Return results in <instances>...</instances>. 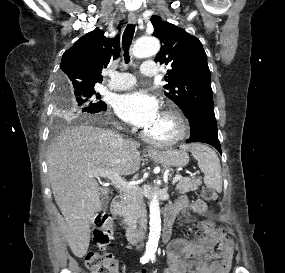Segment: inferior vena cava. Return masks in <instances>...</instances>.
Instances as JSON below:
<instances>
[{
	"mask_svg": "<svg viewBox=\"0 0 285 273\" xmlns=\"http://www.w3.org/2000/svg\"><path fill=\"white\" fill-rule=\"evenodd\" d=\"M109 136L111 138V144L113 146H120L123 142V139L120 135L115 132L109 131ZM137 211L139 214V229L138 235L140 239L144 238L146 227H147V211L145 205L141 202L137 203Z\"/></svg>",
	"mask_w": 285,
	"mask_h": 273,
	"instance_id": "obj_1",
	"label": "inferior vena cava"
}]
</instances>
